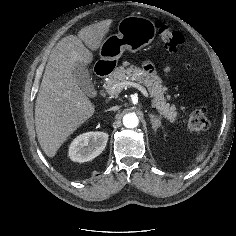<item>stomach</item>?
Segmentation results:
<instances>
[{"mask_svg": "<svg viewBox=\"0 0 236 236\" xmlns=\"http://www.w3.org/2000/svg\"><path fill=\"white\" fill-rule=\"evenodd\" d=\"M118 33L107 37L101 44L100 61L109 62L113 69L125 50L135 53L155 38L154 23L141 16H127L118 23Z\"/></svg>", "mask_w": 236, "mask_h": 236, "instance_id": "1", "label": "stomach"}]
</instances>
